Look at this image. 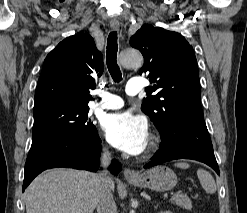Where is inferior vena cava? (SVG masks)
Wrapping results in <instances>:
<instances>
[{"label": "inferior vena cava", "mask_w": 247, "mask_h": 213, "mask_svg": "<svg viewBox=\"0 0 247 213\" xmlns=\"http://www.w3.org/2000/svg\"><path fill=\"white\" fill-rule=\"evenodd\" d=\"M104 170L98 174L99 189L97 197V213H117L116 205L111 193L112 179L108 176L106 168L111 161V154L105 150L101 156Z\"/></svg>", "instance_id": "1"}]
</instances>
